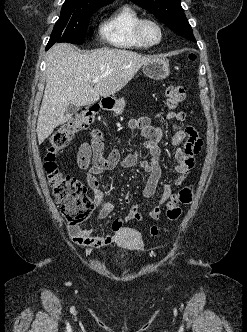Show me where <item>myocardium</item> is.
I'll return each instance as SVG.
<instances>
[{"mask_svg": "<svg viewBox=\"0 0 247 332\" xmlns=\"http://www.w3.org/2000/svg\"><path fill=\"white\" fill-rule=\"evenodd\" d=\"M148 23H151L153 25L156 26V28L158 29V32H159V38L157 41L155 42H149L145 39L144 37V34H143V28L146 24ZM135 34H136V37L138 38V40L143 44L145 45L146 47H152V46H155V45H158L162 39H163V36H164V31H163V28L161 26V24L155 20V19H152V18H142L138 21V23L136 24V27H135Z\"/></svg>", "mask_w": 247, "mask_h": 332, "instance_id": "1", "label": "myocardium"}]
</instances>
